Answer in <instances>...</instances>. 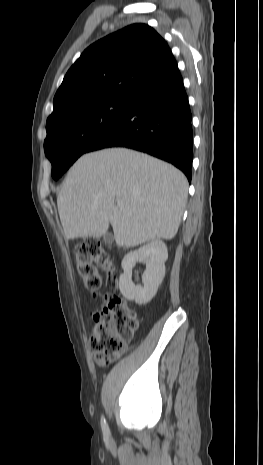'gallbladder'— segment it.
<instances>
[{"label":"gallbladder","mask_w":263,"mask_h":465,"mask_svg":"<svg viewBox=\"0 0 263 465\" xmlns=\"http://www.w3.org/2000/svg\"><path fill=\"white\" fill-rule=\"evenodd\" d=\"M103 240L105 243L112 244L114 237L110 232H107L103 235Z\"/></svg>","instance_id":"bac80fb5"}]
</instances>
